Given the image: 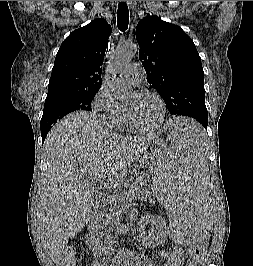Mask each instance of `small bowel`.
<instances>
[{"label": "small bowel", "mask_w": 253, "mask_h": 266, "mask_svg": "<svg viewBox=\"0 0 253 266\" xmlns=\"http://www.w3.org/2000/svg\"><path fill=\"white\" fill-rule=\"evenodd\" d=\"M67 253V252H66ZM62 256L64 258L65 254ZM159 256L163 260L162 265L160 266H194L195 261L189 264H185L184 259L182 257L180 249L174 250H162L159 252ZM61 259V263H62ZM200 261V260H199ZM157 266L151 262H148L145 258H143L139 254H131L126 259L122 261H113V262H100L94 261L92 266Z\"/></svg>", "instance_id": "1"}]
</instances>
